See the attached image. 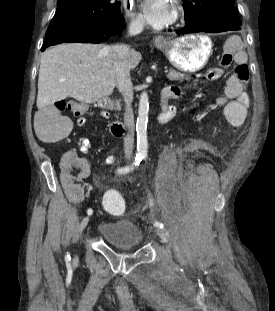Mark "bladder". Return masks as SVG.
Wrapping results in <instances>:
<instances>
[{
	"label": "bladder",
	"instance_id": "bladder-1",
	"mask_svg": "<svg viewBox=\"0 0 275 311\" xmlns=\"http://www.w3.org/2000/svg\"><path fill=\"white\" fill-rule=\"evenodd\" d=\"M98 233L117 249L136 248L141 245L143 240L141 228L129 217L100 223Z\"/></svg>",
	"mask_w": 275,
	"mask_h": 311
}]
</instances>
